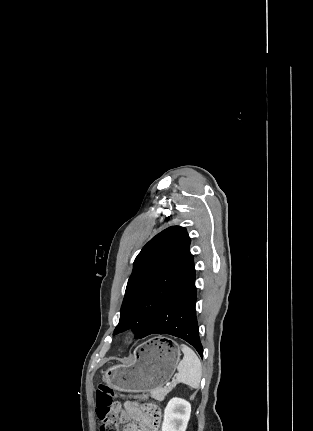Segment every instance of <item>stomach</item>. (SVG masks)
Masks as SVG:
<instances>
[{
  "mask_svg": "<svg viewBox=\"0 0 313 431\" xmlns=\"http://www.w3.org/2000/svg\"><path fill=\"white\" fill-rule=\"evenodd\" d=\"M180 360V347L166 337H155L139 345L130 362L112 366L103 381L122 392H149L162 388L173 376Z\"/></svg>",
  "mask_w": 313,
  "mask_h": 431,
  "instance_id": "obj_1",
  "label": "stomach"
}]
</instances>
